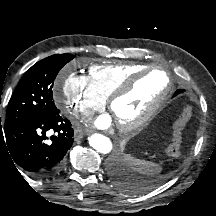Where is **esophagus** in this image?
I'll return each instance as SVG.
<instances>
[{"instance_id": "esophagus-1", "label": "esophagus", "mask_w": 216, "mask_h": 216, "mask_svg": "<svg viewBox=\"0 0 216 216\" xmlns=\"http://www.w3.org/2000/svg\"><path fill=\"white\" fill-rule=\"evenodd\" d=\"M87 132L85 130H82V129H75L74 131V136L75 138L77 139H80L82 138Z\"/></svg>"}]
</instances>
